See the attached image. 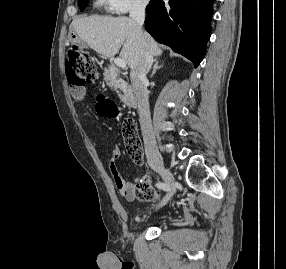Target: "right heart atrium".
Listing matches in <instances>:
<instances>
[{
  "label": "right heart atrium",
  "instance_id": "right-heart-atrium-1",
  "mask_svg": "<svg viewBox=\"0 0 286 269\" xmlns=\"http://www.w3.org/2000/svg\"><path fill=\"white\" fill-rule=\"evenodd\" d=\"M109 9L115 14L144 10L149 0H106Z\"/></svg>",
  "mask_w": 286,
  "mask_h": 269
}]
</instances>
